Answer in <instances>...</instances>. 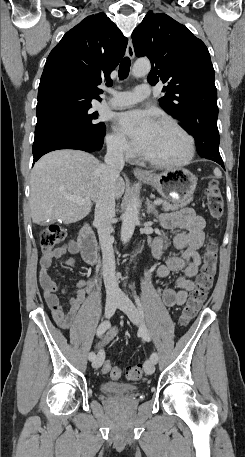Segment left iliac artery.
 Masks as SVG:
<instances>
[{
    "label": "left iliac artery",
    "mask_w": 245,
    "mask_h": 457,
    "mask_svg": "<svg viewBox=\"0 0 245 457\" xmlns=\"http://www.w3.org/2000/svg\"><path fill=\"white\" fill-rule=\"evenodd\" d=\"M134 299H135V303L140 311L142 318H144V309H143L142 302L140 301L139 297L136 294L134 295ZM140 334L145 341H150V334L145 325H143V327L140 329ZM150 358L153 362L156 363L158 360L157 353L153 352L151 354Z\"/></svg>",
    "instance_id": "left-iliac-artery-1"
}]
</instances>
